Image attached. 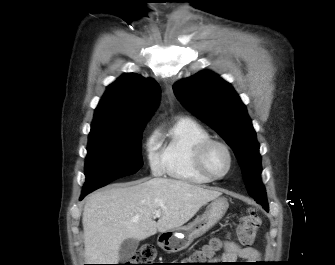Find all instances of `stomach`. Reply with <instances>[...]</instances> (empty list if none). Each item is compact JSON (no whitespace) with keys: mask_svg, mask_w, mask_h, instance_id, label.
I'll list each match as a JSON object with an SVG mask.
<instances>
[{"mask_svg":"<svg viewBox=\"0 0 335 265\" xmlns=\"http://www.w3.org/2000/svg\"><path fill=\"white\" fill-rule=\"evenodd\" d=\"M229 207L224 197L214 199L205 212L187 226L162 232L157 242L161 249L168 253H176L187 248L194 239L204 235L225 215Z\"/></svg>","mask_w":335,"mask_h":265,"instance_id":"stomach-1","label":"stomach"}]
</instances>
